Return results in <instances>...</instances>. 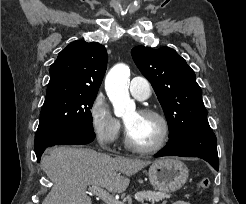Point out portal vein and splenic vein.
Returning a JSON list of instances; mask_svg holds the SVG:
<instances>
[{"label":"portal vein and splenic vein","mask_w":246,"mask_h":204,"mask_svg":"<svg viewBox=\"0 0 246 204\" xmlns=\"http://www.w3.org/2000/svg\"><path fill=\"white\" fill-rule=\"evenodd\" d=\"M89 191L97 196H99L107 204H123L120 200L115 199L110 193H108L104 188L98 186H90Z\"/></svg>","instance_id":"obj_1"}]
</instances>
